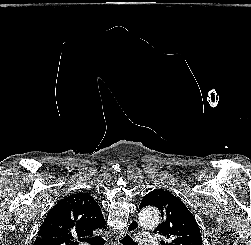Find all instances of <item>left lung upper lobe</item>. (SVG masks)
<instances>
[{
	"mask_svg": "<svg viewBox=\"0 0 251 245\" xmlns=\"http://www.w3.org/2000/svg\"><path fill=\"white\" fill-rule=\"evenodd\" d=\"M147 205L155 206L161 212L163 222L154 231L163 238L161 245H202L198 224L179 198L156 189L144 196L139 208Z\"/></svg>",
	"mask_w": 251,
	"mask_h": 245,
	"instance_id": "5c2ea615",
	"label": "left lung upper lobe"
}]
</instances>
